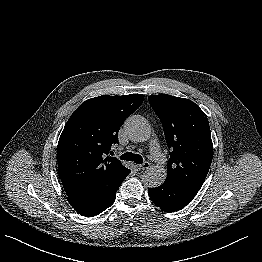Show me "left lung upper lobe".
<instances>
[{"label": "left lung upper lobe", "mask_w": 262, "mask_h": 262, "mask_svg": "<svg viewBox=\"0 0 262 262\" xmlns=\"http://www.w3.org/2000/svg\"><path fill=\"white\" fill-rule=\"evenodd\" d=\"M148 100L162 123L171 151L166 180L198 191L213 158L205 113L191 100L168 94L152 95Z\"/></svg>", "instance_id": "left-lung-upper-lobe-1"}]
</instances>
